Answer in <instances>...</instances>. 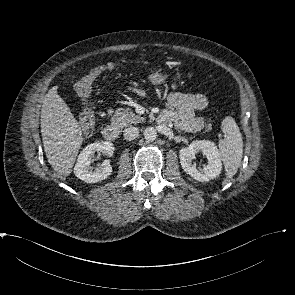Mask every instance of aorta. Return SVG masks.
I'll return each mask as SVG.
<instances>
[{"mask_svg":"<svg viewBox=\"0 0 295 295\" xmlns=\"http://www.w3.org/2000/svg\"><path fill=\"white\" fill-rule=\"evenodd\" d=\"M144 138L147 141H154L157 138V131L154 127H147L144 130Z\"/></svg>","mask_w":295,"mask_h":295,"instance_id":"aorta-1","label":"aorta"}]
</instances>
